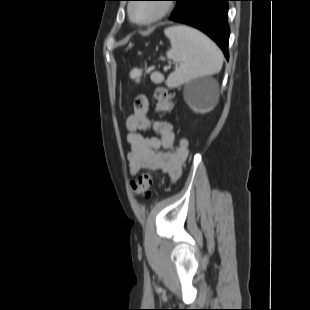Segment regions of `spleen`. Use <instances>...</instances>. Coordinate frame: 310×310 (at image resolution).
<instances>
[{
    "mask_svg": "<svg viewBox=\"0 0 310 310\" xmlns=\"http://www.w3.org/2000/svg\"><path fill=\"white\" fill-rule=\"evenodd\" d=\"M164 33L171 43L167 58L179 65L167 78L166 85L169 88L221 70L223 54L202 32L185 25H176L167 28ZM130 76L139 81L141 70L134 69Z\"/></svg>",
    "mask_w": 310,
    "mask_h": 310,
    "instance_id": "obj_1",
    "label": "spleen"
}]
</instances>
